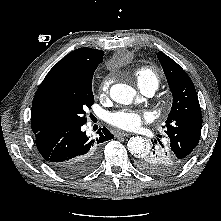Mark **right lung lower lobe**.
Wrapping results in <instances>:
<instances>
[{"label":"right lung lower lobe","mask_w":221,"mask_h":221,"mask_svg":"<svg viewBox=\"0 0 221 221\" xmlns=\"http://www.w3.org/2000/svg\"><path fill=\"white\" fill-rule=\"evenodd\" d=\"M97 133L96 140L90 139L80 126L58 132H41L35 135V141L40 154L54 171L66 177H78L97 166L101 144L113 138L105 127Z\"/></svg>","instance_id":"1"}]
</instances>
